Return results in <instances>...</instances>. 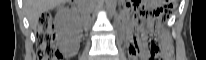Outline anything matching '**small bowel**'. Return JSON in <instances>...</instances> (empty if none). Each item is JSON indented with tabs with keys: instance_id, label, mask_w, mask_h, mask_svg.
Masks as SVG:
<instances>
[{
	"instance_id": "small-bowel-1",
	"label": "small bowel",
	"mask_w": 206,
	"mask_h": 60,
	"mask_svg": "<svg viewBox=\"0 0 206 60\" xmlns=\"http://www.w3.org/2000/svg\"><path fill=\"white\" fill-rule=\"evenodd\" d=\"M128 49H129V55H130L131 59H136L137 56H139L143 53L142 46L133 37L129 38Z\"/></svg>"
}]
</instances>
